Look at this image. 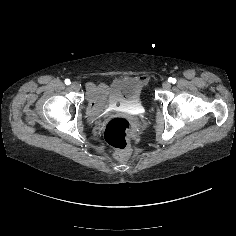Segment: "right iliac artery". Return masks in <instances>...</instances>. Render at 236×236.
I'll list each match as a JSON object with an SVG mask.
<instances>
[{
	"instance_id": "obj_1",
	"label": "right iliac artery",
	"mask_w": 236,
	"mask_h": 236,
	"mask_svg": "<svg viewBox=\"0 0 236 236\" xmlns=\"http://www.w3.org/2000/svg\"><path fill=\"white\" fill-rule=\"evenodd\" d=\"M65 84H66V85L71 84L70 80H69V79H65Z\"/></svg>"
}]
</instances>
